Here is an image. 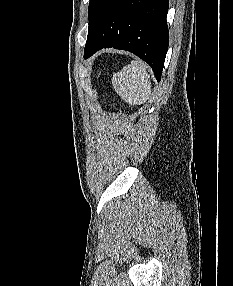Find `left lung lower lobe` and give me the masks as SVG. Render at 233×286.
<instances>
[{
  "label": "left lung lower lobe",
  "mask_w": 233,
  "mask_h": 286,
  "mask_svg": "<svg viewBox=\"0 0 233 286\" xmlns=\"http://www.w3.org/2000/svg\"><path fill=\"white\" fill-rule=\"evenodd\" d=\"M168 0H94L89 11L87 59L102 48L127 50L160 81L169 45Z\"/></svg>",
  "instance_id": "0a47b994"
}]
</instances>
